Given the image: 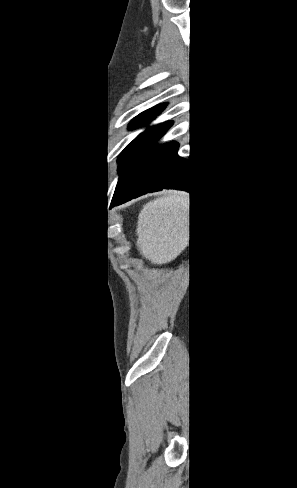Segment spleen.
Listing matches in <instances>:
<instances>
[{
	"label": "spleen",
	"mask_w": 297,
	"mask_h": 488,
	"mask_svg": "<svg viewBox=\"0 0 297 488\" xmlns=\"http://www.w3.org/2000/svg\"><path fill=\"white\" fill-rule=\"evenodd\" d=\"M185 196L168 193L147 203L139 214L137 246L154 264L169 262L183 248Z\"/></svg>",
	"instance_id": "spleen-1"
}]
</instances>
